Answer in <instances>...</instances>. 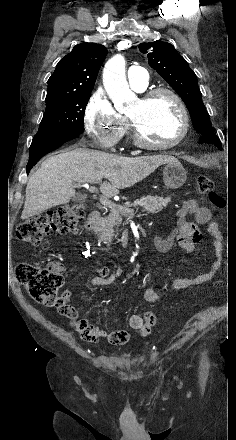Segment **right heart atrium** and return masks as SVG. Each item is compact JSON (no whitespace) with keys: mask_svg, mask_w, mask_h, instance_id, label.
Segmentation results:
<instances>
[{"mask_svg":"<svg viewBox=\"0 0 236 440\" xmlns=\"http://www.w3.org/2000/svg\"><path fill=\"white\" fill-rule=\"evenodd\" d=\"M84 127L100 148L113 150L124 136L126 120L116 111L102 88L94 90L83 114Z\"/></svg>","mask_w":236,"mask_h":440,"instance_id":"right-heart-atrium-1","label":"right heart atrium"}]
</instances>
